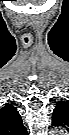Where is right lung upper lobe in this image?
Here are the masks:
<instances>
[{
    "label": "right lung upper lobe",
    "mask_w": 69,
    "mask_h": 135,
    "mask_svg": "<svg viewBox=\"0 0 69 135\" xmlns=\"http://www.w3.org/2000/svg\"><path fill=\"white\" fill-rule=\"evenodd\" d=\"M0 119L3 135H27L18 111L12 105H7L1 110Z\"/></svg>",
    "instance_id": "right-lung-upper-lobe-1"
}]
</instances>
